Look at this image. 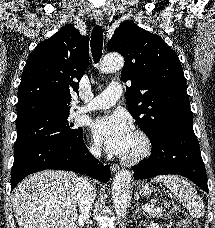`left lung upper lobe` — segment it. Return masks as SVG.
Listing matches in <instances>:
<instances>
[{
  "label": "left lung upper lobe",
  "mask_w": 215,
  "mask_h": 228,
  "mask_svg": "<svg viewBox=\"0 0 215 228\" xmlns=\"http://www.w3.org/2000/svg\"><path fill=\"white\" fill-rule=\"evenodd\" d=\"M107 49L124 57L121 79L131 83L128 110L151 142L164 129L193 122L180 60L160 36L126 21Z\"/></svg>",
  "instance_id": "left-lung-upper-lobe-1"
}]
</instances>
